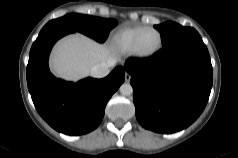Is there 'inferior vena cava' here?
Here are the masks:
<instances>
[{
    "instance_id": "inferior-vena-cava-1",
    "label": "inferior vena cava",
    "mask_w": 238,
    "mask_h": 158,
    "mask_svg": "<svg viewBox=\"0 0 238 158\" xmlns=\"http://www.w3.org/2000/svg\"><path fill=\"white\" fill-rule=\"evenodd\" d=\"M114 65V61L101 62L90 69L91 76L95 78H103L110 73V67Z\"/></svg>"
}]
</instances>
